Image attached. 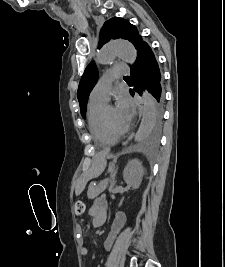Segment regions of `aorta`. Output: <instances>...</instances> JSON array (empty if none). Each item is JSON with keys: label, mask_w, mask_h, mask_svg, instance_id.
Returning a JSON list of instances; mask_svg holds the SVG:
<instances>
[{"label": "aorta", "mask_w": 225, "mask_h": 267, "mask_svg": "<svg viewBox=\"0 0 225 267\" xmlns=\"http://www.w3.org/2000/svg\"><path fill=\"white\" fill-rule=\"evenodd\" d=\"M115 57H119L126 63L133 64L137 57L135 47L128 41H117L104 45L97 54L99 64L107 65ZM142 119L135 141L140 142L149 134L153 126L155 101L151 94L147 91L142 95Z\"/></svg>", "instance_id": "1"}]
</instances>
